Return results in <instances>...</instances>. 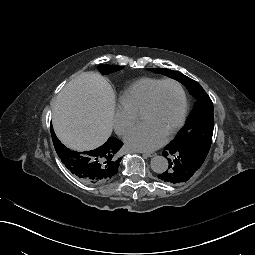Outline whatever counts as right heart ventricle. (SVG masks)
<instances>
[{
	"label": "right heart ventricle",
	"instance_id": "1",
	"mask_svg": "<svg viewBox=\"0 0 255 255\" xmlns=\"http://www.w3.org/2000/svg\"><path fill=\"white\" fill-rule=\"evenodd\" d=\"M161 81L159 78H141L118 95V105L140 114L152 88Z\"/></svg>",
	"mask_w": 255,
	"mask_h": 255
}]
</instances>
